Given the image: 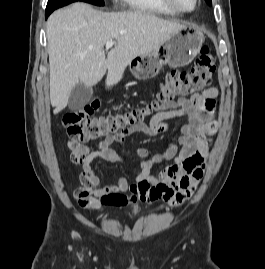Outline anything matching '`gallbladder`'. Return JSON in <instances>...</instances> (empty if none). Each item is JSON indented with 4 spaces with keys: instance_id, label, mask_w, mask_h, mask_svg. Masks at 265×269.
I'll return each mask as SVG.
<instances>
[{
    "instance_id": "obj_1",
    "label": "gallbladder",
    "mask_w": 265,
    "mask_h": 269,
    "mask_svg": "<svg viewBox=\"0 0 265 269\" xmlns=\"http://www.w3.org/2000/svg\"><path fill=\"white\" fill-rule=\"evenodd\" d=\"M93 89L77 83L70 93L68 107L72 111L83 108L92 98Z\"/></svg>"
}]
</instances>
